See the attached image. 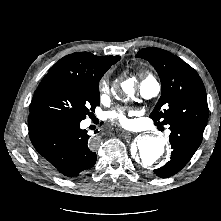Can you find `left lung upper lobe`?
I'll list each match as a JSON object with an SVG mask.
<instances>
[{"label":"left lung upper lobe","mask_w":221,"mask_h":221,"mask_svg":"<svg viewBox=\"0 0 221 221\" xmlns=\"http://www.w3.org/2000/svg\"><path fill=\"white\" fill-rule=\"evenodd\" d=\"M146 59L158 72L162 94L150 114L157 126L183 123L204 130L208 121L207 96L198 73L176 55L160 48H144Z\"/></svg>","instance_id":"obj_1"}]
</instances>
